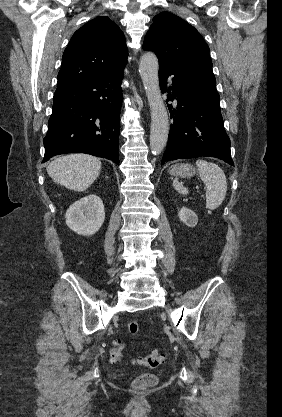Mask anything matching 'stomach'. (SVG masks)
<instances>
[{"label": "stomach", "mask_w": 282, "mask_h": 417, "mask_svg": "<svg viewBox=\"0 0 282 417\" xmlns=\"http://www.w3.org/2000/svg\"><path fill=\"white\" fill-rule=\"evenodd\" d=\"M194 166L192 164H186V162H181V164H173L170 166L169 172L173 174V176H193L194 174Z\"/></svg>", "instance_id": "stomach-1"}]
</instances>
